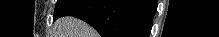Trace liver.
Here are the masks:
<instances>
[{
    "label": "liver",
    "mask_w": 219,
    "mask_h": 37,
    "mask_svg": "<svg viewBox=\"0 0 219 37\" xmlns=\"http://www.w3.org/2000/svg\"><path fill=\"white\" fill-rule=\"evenodd\" d=\"M56 37H96L97 33L85 22L74 17H62L54 25Z\"/></svg>",
    "instance_id": "1"
}]
</instances>
